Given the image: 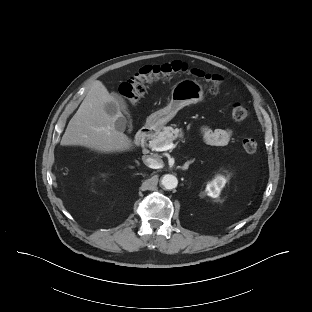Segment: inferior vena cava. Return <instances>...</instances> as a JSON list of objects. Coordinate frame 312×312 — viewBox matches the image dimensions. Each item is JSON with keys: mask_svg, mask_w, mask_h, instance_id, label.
<instances>
[{"mask_svg": "<svg viewBox=\"0 0 312 312\" xmlns=\"http://www.w3.org/2000/svg\"><path fill=\"white\" fill-rule=\"evenodd\" d=\"M144 164L152 169H159L163 166V161L159 157L143 156Z\"/></svg>", "mask_w": 312, "mask_h": 312, "instance_id": "602c4592", "label": "inferior vena cava"}]
</instances>
